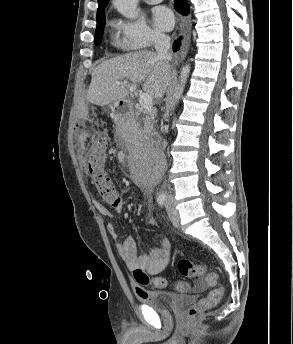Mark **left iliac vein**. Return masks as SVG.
<instances>
[{
  "instance_id": "left-iliac-vein-1",
  "label": "left iliac vein",
  "mask_w": 293,
  "mask_h": 344,
  "mask_svg": "<svg viewBox=\"0 0 293 344\" xmlns=\"http://www.w3.org/2000/svg\"><path fill=\"white\" fill-rule=\"evenodd\" d=\"M167 212H168V216H169L170 221L173 223V225L175 227H178L179 226V214H178V211L176 210V208L172 204H169L167 206Z\"/></svg>"
}]
</instances>
